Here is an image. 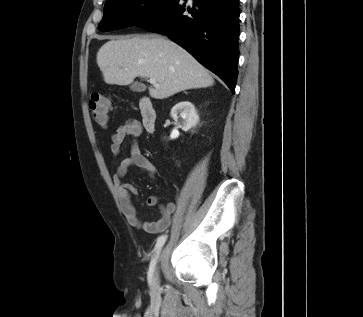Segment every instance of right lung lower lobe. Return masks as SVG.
<instances>
[{
	"label": "right lung lower lobe",
	"instance_id": "1",
	"mask_svg": "<svg viewBox=\"0 0 363 317\" xmlns=\"http://www.w3.org/2000/svg\"><path fill=\"white\" fill-rule=\"evenodd\" d=\"M239 0H176L165 12L138 24L167 35L219 76L232 93L238 76Z\"/></svg>",
	"mask_w": 363,
	"mask_h": 317
}]
</instances>
